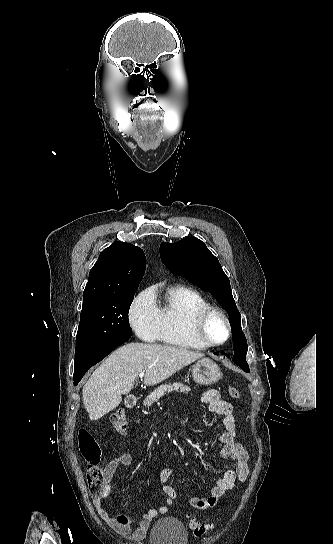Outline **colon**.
I'll list each match as a JSON object with an SVG mask.
<instances>
[{"label": "colon", "instance_id": "obj_1", "mask_svg": "<svg viewBox=\"0 0 333 544\" xmlns=\"http://www.w3.org/2000/svg\"><path fill=\"white\" fill-rule=\"evenodd\" d=\"M228 393L231 398L238 399L239 391L235 387H229ZM110 422L113 428L122 433L127 427V417L124 409H118L112 413ZM79 450L86 461L87 481L92 491H99L106 482L104 468L99 463L101 459V449L95 438L85 430H80L78 433ZM189 526L193 534L201 537L214 528L213 523H200L194 518L188 516Z\"/></svg>", "mask_w": 333, "mask_h": 544}]
</instances>
